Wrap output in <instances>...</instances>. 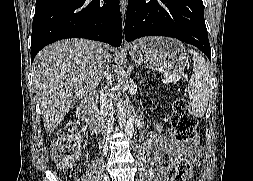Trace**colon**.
<instances>
[{
    "mask_svg": "<svg viewBox=\"0 0 253 181\" xmlns=\"http://www.w3.org/2000/svg\"><path fill=\"white\" fill-rule=\"evenodd\" d=\"M171 125L175 131V138L180 142H190L197 137V120L190 113L186 98H178L173 103ZM81 135L76 125L68 123L61 131L53 146V157L63 168H70L77 159ZM191 170L190 161L181 160L171 181H185Z\"/></svg>",
    "mask_w": 253,
    "mask_h": 181,
    "instance_id": "colon-1",
    "label": "colon"
}]
</instances>
